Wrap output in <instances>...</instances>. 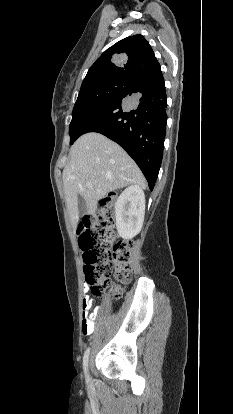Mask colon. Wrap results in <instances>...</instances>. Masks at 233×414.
<instances>
[{"label":"colon","instance_id":"obj_1","mask_svg":"<svg viewBox=\"0 0 233 414\" xmlns=\"http://www.w3.org/2000/svg\"><path fill=\"white\" fill-rule=\"evenodd\" d=\"M113 198L101 200V207L79 229V244L84 252L85 281L90 284L94 296H101L110 284L113 274L117 286L115 296L132 279L130 264L133 241L117 239L114 232Z\"/></svg>","mask_w":233,"mask_h":414}]
</instances>
